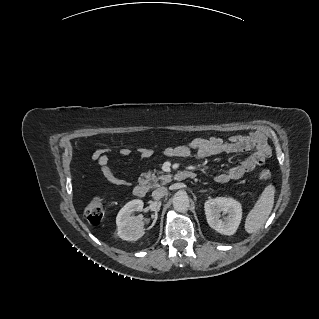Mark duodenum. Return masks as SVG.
<instances>
[{"label":"duodenum","instance_id":"410a0bca","mask_svg":"<svg viewBox=\"0 0 319 319\" xmlns=\"http://www.w3.org/2000/svg\"><path fill=\"white\" fill-rule=\"evenodd\" d=\"M174 177L176 180H187L195 178L196 174L193 171L183 170L177 172ZM133 194L135 197L144 198L147 194L146 186L144 184H137L133 188Z\"/></svg>","mask_w":319,"mask_h":319}]
</instances>
